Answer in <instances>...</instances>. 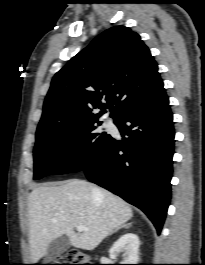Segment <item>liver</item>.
<instances>
[{"label":"liver","instance_id":"obj_1","mask_svg":"<svg viewBox=\"0 0 205 265\" xmlns=\"http://www.w3.org/2000/svg\"><path fill=\"white\" fill-rule=\"evenodd\" d=\"M132 216L133 211L124 200L85 180L36 187L28 201L32 262H38L51 241L62 235L75 248L93 250ZM78 225L88 230L76 233Z\"/></svg>","mask_w":205,"mask_h":265}]
</instances>
